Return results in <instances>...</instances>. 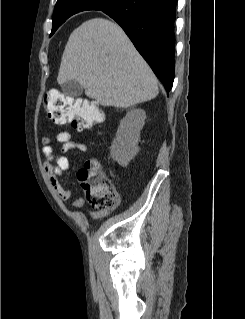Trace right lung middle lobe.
Returning a JSON list of instances; mask_svg holds the SVG:
<instances>
[{
	"mask_svg": "<svg viewBox=\"0 0 245 319\" xmlns=\"http://www.w3.org/2000/svg\"><path fill=\"white\" fill-rule=\"evenodd\" d=\"M121 1L122 0H83L79 6L82 7L83 11L92 9L102 10L115 6ZM71 3L72 2L66 0L57 1L54 9L51 35L69 17Z\"/></svg>",
	"mask_w": 245,
	"mask_h": 319,
	"instance_id": "right-lung-middle-lobe-1",
	"label": "right lung middle lobe"
}]
</instances>
